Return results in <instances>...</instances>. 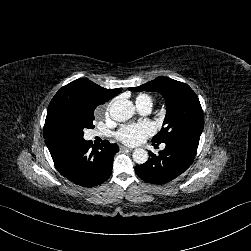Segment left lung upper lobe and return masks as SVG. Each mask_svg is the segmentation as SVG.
I'll use <instances>...</instances> for the list:
<instances>
[{"label": "left lung upper lobe", "instance_id": "left-lung-upper-lobe-1", "mask_svg": "<svg viewBox=\"0 0 251 251\" xmlns=\"http://www.w3.org/2000/svg\"><path fill=\"white\" fill-rule=\"evenodd\" d=\"M129 90L159 92L165 98L166 116L163 128L153 137V143H166L178 138L199 142L204 125L203 111L197 95L187 84L158 77Z\"/></svg>", "mask_w": 251, "mask_h": 251}]
</instances>
